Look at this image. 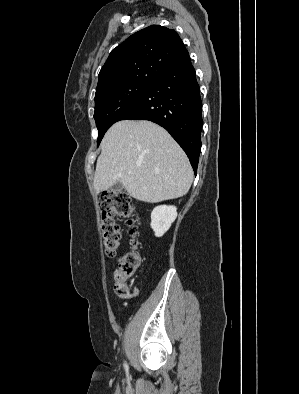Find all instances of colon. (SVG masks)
I'll return each mask as SVG.
<instances>
[{"label": "colon", "instance_id": "obj_1", "mask_svg": "<svg viewBox=\"0 0 299 394\" xmlns=\"http://www.w3.org/2000/svg\"><path fill=\"white\" fill-rule=\"evenodd\" d=\"M100 209V230L102 235L103 250L108 258L117 256L120 247V228L114 217L120 216L126 219L130 226V234L137 235V230L131 219V197L121 191H106L98 200ZM141 265V254L137 242L124 253L118 262L114 273V290L118 297L130 296L129 281L134 277Z\"/></svg>", "mask_w": 299, "mask_h": 394}]
</instances>
